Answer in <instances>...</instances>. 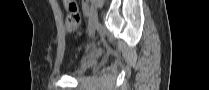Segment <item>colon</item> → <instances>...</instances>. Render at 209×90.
I'll return each instance as SVG.
<instances>
[{"label": "colon", "instance_id": "5ec220e1", "mask_svg": "<svg viewBox=\"0 0 209 90\" xmlns=\"http://www.w3.org/2000/svg\"><path fill=\"white\" fill-rule=\"evenodd\" d=\"M65 7L68 11V16L66 18V29L70 33L81 34V15L76 1L74 0H64Z\"/></svg>", "mask_w": 209, "mask_h": 90}]
</instances>
